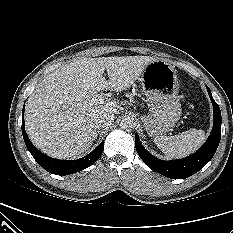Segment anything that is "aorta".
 Returning a JSON list of instances; mask_svg holds the SVG:
<instances>
[{"label": "aorta", "instance_id": "1", "mask_svg": "<svg viewBox=\"0 0 233 233\" xmlns=\"http://www.w3.org/2000/svg\"><path fill=\"white\" fill-rule=\"evenodd\" d=\"M120 127L126 131H133L136 128V122L133 118L127 117L122 119Z\"/></svg>", "mask_w": 233, "mask_h": 233}]
</instances>
